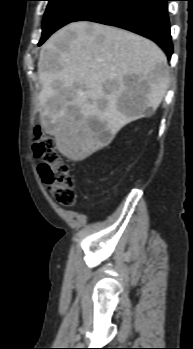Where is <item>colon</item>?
I'll return each instance as SVG.
<instances>
[{"mask_svg": "<svg viewBox=\"0 0 193 349\" xmlns=\"http://www.w3.org/2000/svg\"><path fill=\"white\" fill-rule=\"evenodd\" d=\"M32 149L40 160L39 174L56 201L64 206L73 205L76 199L74 179L70 166L56 150L54 138L36 129Z\"/></svg>", "mask_w": 193, "mask_h": 349, "instance_id": "5ec220e1", "label": "colon"}]
</instances>
